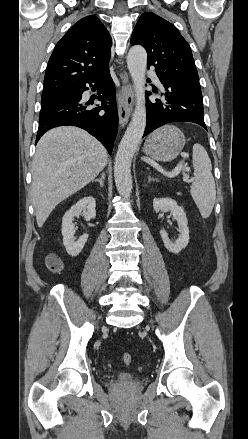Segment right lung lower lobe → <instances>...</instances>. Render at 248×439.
Listing matches in <instances>:
<instances>
[{
  "label": "right lung lower lobe",
  "instance_id": "right-lung-lower-lobe-1",
  "mask_svg": "<svg viewBox=\"0 0 248 439\" xmlns=\"http://www.w3.org/2000/svg\"><path fill=\"white\" fill-rule=\"evenodd\" d=\"M87 83L97 89L101 106L93 107V102L82 98L83 92L88 89ZM107 101L110 103L108 106ZM64 125L85 129L106 147L109 154L112 153L118 130V112L115 85L109 68L64 93L42 101L36 143L48 130Z\"/></svg>",
  "mask_w": 248,
  "mask_h": 439
}]
</instances>
